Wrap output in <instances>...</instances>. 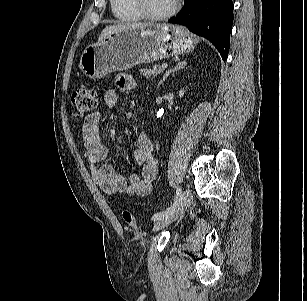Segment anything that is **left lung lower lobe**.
Here are the masks:
<instances>
[{
	"label": "left lung lower lobe",
	"mask_w": 307,
	"mask_h": 301,
	"mask_svg": "<svg viewBox=\"0 0 307 301\" xmlns=\"http://www.w3.org/2000/svg\"><path fill=\"white\" fill-rule=\"evenodd\" d=\"M233 8L232 0H185L184 8L169 22L184 25L211 41L225 61L230 48Z\"/></svg>",
	"instance_id": "obj_1"
}]
</instances>
